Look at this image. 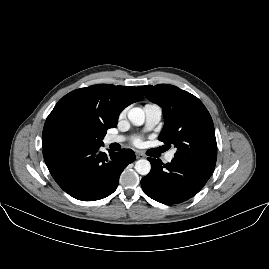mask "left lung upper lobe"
Wrapping results in <instances>:
<instances>
[{
	"mask_svg": "<svg viewBox=\"0 0 269 269\" xmlns=\"http://www.w3.org/2000/svg\"><path fill=\"white\" fill-rule=\"evenodd\" d=\"M163 109L159 140L177 148L174 158L214 171L217 144L212 118L194 95L168 84L138 87Z\"/></svg>",
	"mask_w": 269,
	"mask_h": 269,
	"instance_id": "left-lung-upper-lobe-1",
	"label": "left lung upper lobe"
}]
</instances>
